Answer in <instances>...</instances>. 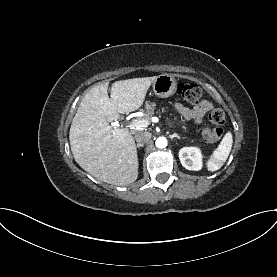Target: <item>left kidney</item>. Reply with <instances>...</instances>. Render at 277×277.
<instances>
[{
	"label": "left kidney",
	"instance_id": "1",
	"mask_svg": "<svg viewBox=\"0 0 277 277\" xmlns=\"http://www.w3.org/2000/svg\"><path fill=\"white\" fill-rule=\"evenodd\" d=\"M179 158L183 167L198 171L202 168V154L197 147H184L179 151Z\"/></svg>",
	"mask_w": 277,
	"mask_h": 277
}]
</instances>
